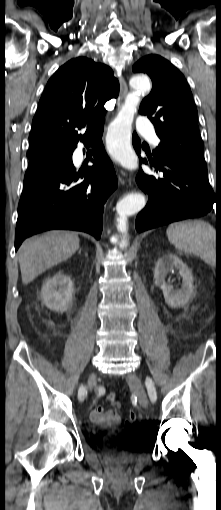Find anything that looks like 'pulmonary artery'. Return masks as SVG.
I'll return each instance as SVG.
<instances>
[{
	"instance_id": "obj_1",
	"label": "pulmonary artery",
	"mask_w": 221,
	"mask_h": 510,
	"mask_svg": "<svg viewBox=\"0 0 221 510\" xmlns=\"http://www.w3.org/2000/svg\"><path fill=\"white\" fill-rule=\"evenodd\" d=\"M136 129L153 145H158L159 139L154 132L153 124L147 118L139 117Z\"/></svg>"
}]
</instances>
